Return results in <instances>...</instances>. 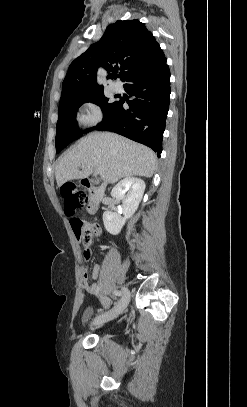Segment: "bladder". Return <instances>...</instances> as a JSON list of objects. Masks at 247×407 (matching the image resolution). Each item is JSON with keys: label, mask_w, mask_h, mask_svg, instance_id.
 I'll return each instance as SVG.
<instances>
[{"label": "bladder", "mask_w": 247, "mask_h": 407, "mask_svg": "<svg viewBox=\"0 0 247 407\" xmlns=\"http://www.w3.org/2000/svg\"><path fill=\"white\" fill-rule=\"evenodd\" d=\"M93 317H94V310L91 309V308H89V309H87V310L84 312L83 320H84L85 322L90 323V325H92V323H93L94 320H95V319L93 320Z\"/></svg>", "instance_id": "bladder-1"}]
</instances>
